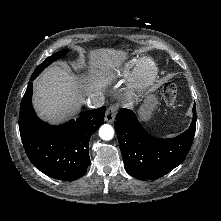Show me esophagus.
I'll use <instances>...</instances> for the list:
<instances>
[{
  "label": "esophagus",
  "mask_w": 221,
  "mask_h": 221,
  "mask_svg": "<svg viewBox=\"0 0 221 221\" xmlns=\"http://www.w3.org/2000/svg\"><path fill=\"white\" fill-rule=\"evenodd\" d=\"M118 107L116 105L110 106L105 113V121L106 122H113L116 116Z\"/></svg>",
  "instance_id": "obj_1"
}]
</instances>
